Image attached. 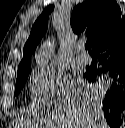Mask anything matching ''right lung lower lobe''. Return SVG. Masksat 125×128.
I'll list each match as a JSON object with an SVG mask.
<instances>
[{
	"instance_id": "98d812e1",
	"label": "right lung lower lobe",
	"mask_w": 125,
	"mask_h": 128,
	"mask_svg": "<svg viewBox=\"0 0 125 128\" xmlns=\"http://www.w3.org/2000/svg\"><path fill=\"white\" fill-rule=\"evenodd\" d=\"M93 50L98 63L87 66L84 77L92 83L98 81L104 91V117L111 128H119L125 109V23L97 42Z\"/></svg>"
}]
</instances>
